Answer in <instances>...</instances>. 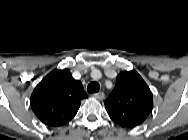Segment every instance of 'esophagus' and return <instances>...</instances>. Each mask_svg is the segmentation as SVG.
I'll return each instance as SVG.
<instances>
[{
  "instance_id": "1",
  "label": "esophagus",
  "mask_w": 188,
  "mask_h": 140,
  "mask_svg": "<svg viewBox=\"0 0 188 140\" xmlns=\"http://www.w3.org/2000/svg\"><path fill=\"white\" fill-rule=\"evenodd\" d=\"M96 99L102 100L104 99L105 94L103 92H98L93 95Z\"/></svg>"
}]
</instances>
